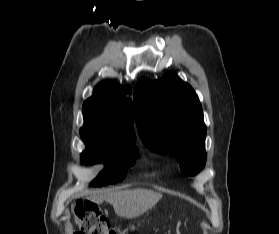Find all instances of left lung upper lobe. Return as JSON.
<instances>
[{
    "instance_id": "obj_1",
    "label": "left lung upper lobe",
    "mask_w": 279,
    "mask_h": 234,
    "mask_svg": "<svg viewBox=\"0 0 279 234\" xmlns=\"http://www.w3.org/2000/svg\"><path fill=\"white\" fill-rule=\"evenodd\" d=\"M139 135L152 151L177 157L183 174L193 176L206 162V125L192 87L175 73L150 81L141 78L134 91Z\"/></svg>"
}]
</instances>
